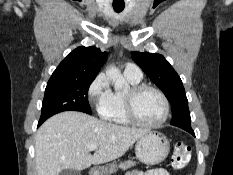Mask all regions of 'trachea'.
<instances>
[{
	"label": "trachea",
	"mask_w": 233,
	"mask_h": 175,
	"mask_svg": "<svg viewBox=\"0 0 233 175\" xmlns=\"http://www.w3.org/2000/svg\"><path fill=\"white\" fill-rule=\"evenodd\" d=\"M113 9L115 12H121L124 9V4H113Z\"/></svg>",
	"instance_id": "obj_1"
}]
</instances>
